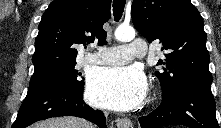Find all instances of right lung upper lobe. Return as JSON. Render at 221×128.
Wrapping results in <instances>:
<instances>
[{"label": "right lung upper lobe", "instance_id": "cb5924a9", "mask_svg": "<svg viewBox=\"0 0 221 128\" xmlns=\"http://www.w3.org/2000/svg\"><path fill=\"white\" fill-rule=\"evenodd\" d=\"M111 0H54L42 16L32 62L39 75L75 65L77 45L105 42Z\"/></svg>", "mask_w": 221, "mask_h": 128}]
</instances>
